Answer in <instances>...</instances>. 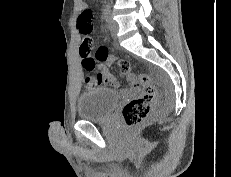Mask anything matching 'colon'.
I'll return each instance as SVG.
<instances>
[{"instance_id": "colon-1", "label": "colon", "mask_w": 231, "mask_h": 177, "mask_svg": "<svg viewBox=\"0 0 231 177\" xmlns=\"http://www.w3.org/2000/svg\"><path fill=\"white\" fill-rule=\"evenodd\" d=\"M92 16V10L86 8L81 11L77 19L78 29L83 36L80 55L82 57L84 69L88 73H91L95 70L97 61L110 62L116 63L122 73L132 74L131 64L127 60L111 56L108 51L102 47L94 50ZM93 52L94 56H92ZM132 75L135 76L137 84L141 86L142 92L139 96L128 101L122 109L123 119L130 128L140 125L146 119L157 97V89L149 75L145 73H136ZM85 84L88 87L96 85L97 76L91 74L86 75Z\"/></svg>"}]
</instances>
